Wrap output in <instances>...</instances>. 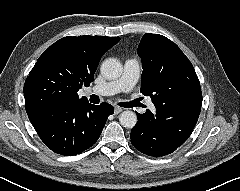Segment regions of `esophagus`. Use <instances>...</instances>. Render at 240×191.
<instances>
[{"mask_svg":"<svg viewBox=\"0 0 240 191\" xmlns=\"http://www.w3.org/2000/svg\"><path fill=\"white\" fill-rule=\"evenodd\" d=\"M122 111H123V109L121 107H118V106L114 107V114H119Z\"/></svg>","mask_w":240,"mask_h":191,"instance_id":"obj_1","label":"esophagus"}]
</instances>
